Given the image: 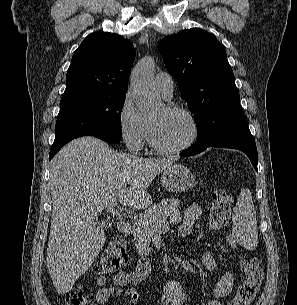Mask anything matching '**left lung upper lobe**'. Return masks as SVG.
Returning <instances> with one entry per match:
<instances>
[{
	"mask_svg": "<svg viewBox=\"0 0 297 305\" xmlns=\"http://www.w3.org/2000/svg\"><path fill=\"white\" fill-rule=\"evenodd\" d=\"M158 49L194 114L198 127L194 144L203 137L214 139L245 118L226 51L212 34L187 29L163 38Z\"/></svg>",
	"mask_w": 297,
	"mask_h": 305,
	"instance_id": "5c2ea615",
	"label": "left lung upper lobe"
}]
</instances>
